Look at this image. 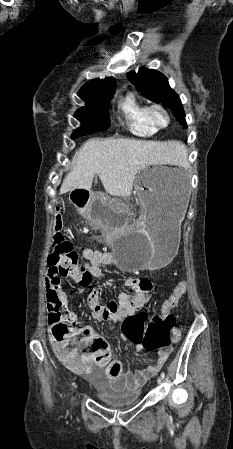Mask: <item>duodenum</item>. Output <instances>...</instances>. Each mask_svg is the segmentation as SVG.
Here are the masks:
<instances>
[{"mask_svg": "<svg viewBox=\"0 0 233 449\" xmlns=\"http://www.w3.org/2000/svg\"><path fill=\"white\" fill-rule=\"evenodd\" d=\"M71 204L72 206H90L92 204L91 192L88 191L87 186H74Z\"/></svg>", "mask_w": 233, "mask_h": 449, "instance_id": "410a0bca", "label": "duodenum"}]
</instances>
